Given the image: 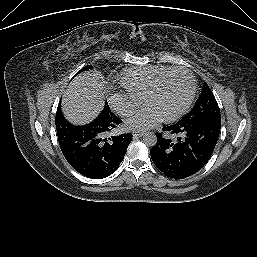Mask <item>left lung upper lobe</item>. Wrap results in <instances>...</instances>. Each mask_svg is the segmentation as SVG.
Listing matches in <instances>:
<instances>
[{
	"mask_svg": "<svg viewBox=\"0 0 257 257\" xmlns=\"http://www.w3.org/2000/svg\"><path fill=\"white\" fill-rule=\"evenodd\" d=\"M181 120L190 124L209 120L221 121V115L217 101L207 84L203 86L200 97L196 101L192 110Z\"/></svg>",
	"mask_w": 257,
	"mask_h": 257,
	"instance_id": "left-lung-upper-lobe-1",
	"label": "left lung upper lobe"
}]
</instances>
